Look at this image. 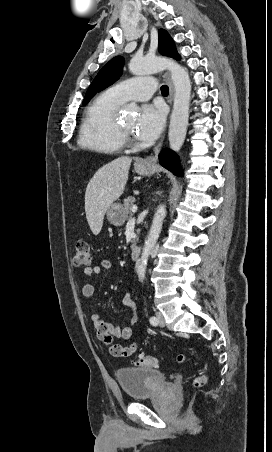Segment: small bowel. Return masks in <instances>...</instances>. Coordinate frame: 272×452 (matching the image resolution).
<instances>
[{
	"label": "small bowel",
	"mask_w": 272,
	"mask_h": 452,
	"mask_svg": "<svg viewBox=\"0 0 272 452\" xmlns=\"http://www.w3.org/2000/svg\"><path fill=\"white\" fill-rule=\"evenodd\" d=\"M112 268L110 260L102 259L94 266L84 269L83 274L86 279L99 275L103 271H109ZM82 295L85 298H91L95 294V286L91 282H85L81 288ZM122 303L130 311V317L128 324L123 327L115 326L113 323L102 319L98 313H92L90 316L91 322L95 328L97 337L107 346H109L110 353L114 356H121L113 351L115 346H121L120 344H114V339L127 341L132 337L133 327L136 325L139 319L138 309L136 303L132 298L130 291H126L122 297ZM135 344V343H134ZM137 346V345H136Z\"/></svg>",
	"instance_id": "1"
}]
</instances>
